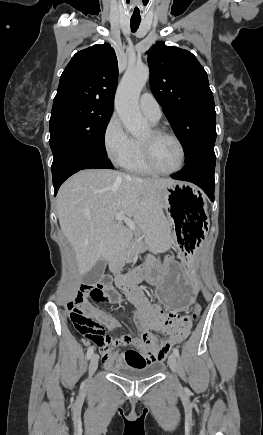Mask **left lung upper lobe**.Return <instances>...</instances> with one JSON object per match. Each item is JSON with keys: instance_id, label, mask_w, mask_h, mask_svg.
I'll return each mask as SVG.
<instances>
[{"instance_id": "1", "label": "left lung upper lobe", "mask_w": 263, "mask_h": 435, "mask_svg": "<svg viewBox=\"0 0 263 435\" xmlns=\"http://www.w3.org/2000/svg\"><path fill=\"white\" fill-rule=\"evenodd\" d=\"M150 86L172 128L182 142L185 161L214 146L216 112L207 73L189 51L163 42L147 52Z\"/></svg>"}]
</instances>
